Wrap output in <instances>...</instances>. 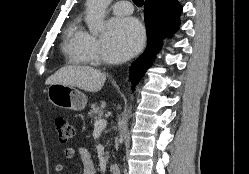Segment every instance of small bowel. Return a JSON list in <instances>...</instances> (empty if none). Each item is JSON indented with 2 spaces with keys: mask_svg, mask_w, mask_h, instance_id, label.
I'll use <instances>...</instances> for the list:
<instances>
[{
  "mask_svg": "<svg viewBox=\"0 0 249 174\" xmlns=\"http://www.w3.org/2000/svg\"><path fill=\"white\" fill-rule=\"evenodd\" d=\"M76 154H78L80 157L83 166V174H96L95 165L87 149H85L84 147H78V148H67L65 150V157L67 159L74 158ZM55 170L57 173H62L65 170V166L63 164H57L55 166Z\"/></svg>",
  "mask_w": 249,
  "mask_h": 174,
  "instance_id": "1",
  "label": "small bowel"
}]
</instances>
